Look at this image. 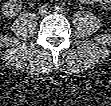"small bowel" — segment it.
Here are the masks:
<instances>
[{
    "label": "small bowel",
    "mask_w": 111,
    "mask_h": 106,
    "mask_svg": "<svg viewBox=\"0 0 111 106\" xmlns=\"http://www.w3.org/2000/svg\"><path fill=\"white\" fill-rule=\"evenodd\" d=\"M82 2H87V3H90V2H94V1H85V0H83Z\"/></svg>",
    "instance_id": "obj_1"
}]
</instances>
